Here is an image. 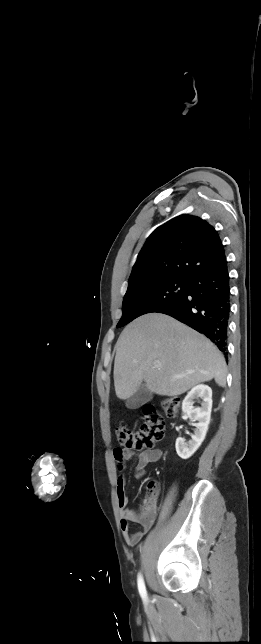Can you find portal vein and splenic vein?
I'll return each instance as SVG.
<instances>
[{"mask_svg":"<svg viewBox=\"0 0 261 644\" xmlns=\"http://www.w3.org/2000/svg\"><path fill=\"white\" fill-rule=\"evenodd\" d=\"M160 366H161L160 362H155V367H157V368H158V367H160Z\"/></svg>","mask_w":261,"mask_h":644,"instance_id":"18ae733b","label":"portal vein and splenic vein"}]
</instances>
